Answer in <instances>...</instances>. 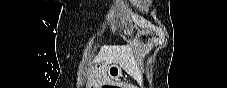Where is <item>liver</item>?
<instances>
[{
    "label": "liver",
    "instance_id": "6515ba94",
    "mask_svg": "<svg viewBox=\"0 0 227 88\" xmlns=\"http://www.w3.org/2000/svg\"><path fill=\"white\" fill-rule=\"evenodd\" d=\"M140 42H135L124 46H108L104 47L100 54L99 59L104 60L107 64H120L127 69H135L137 67L138 58L135 55L136 49Z\"/></svg>",
    "mask_w": 227,
    "mask_h": 88
}]
</instances>
